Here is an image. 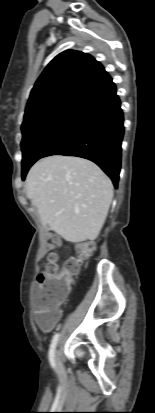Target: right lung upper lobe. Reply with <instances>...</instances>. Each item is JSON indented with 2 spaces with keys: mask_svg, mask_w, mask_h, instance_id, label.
Returning a JSON list of instances; mask_svg holds the SVG:
<instances>
[{
  "mask_svg": "<svg viewBox=\"0 0 155 413\" xmlns=\"http://www.w3.org/2000/svg\"><path fill=\"white\" fill-rule=\"evenodd\" d=\"M111 81L92 56L66 50L49 63L36 81L22 125L62 105L80 104Z\"/></svg>",
  "mask_w": 155,
  "mask_h": 413,
  "instance_id": "cb5924a9",
  "label": "right lung upper lobe"
}]
</instances>
